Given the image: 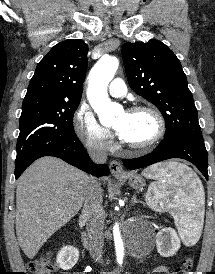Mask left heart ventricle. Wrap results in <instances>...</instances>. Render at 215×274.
Returning a JSON list of instances; mask_svg holds the SVG:
<instances>
[{
	"instance_id": "b2bd125f",
	"label": "left heart ventricle",
	"mask_w": 215,
	"mask_h": 274,
	"mask_svg": "<svg viewBox=\"0 0 215 274\" xmlns=\"http://www.w3.org/2000/svg\"><path fill=\"white\" fill-rule=\"evenodd\" d=\"M114 127H122L123 140L133 144L148 141L157 130L154 117L147 112L121 113L116 118Z\"/></svg>"
}]
</instances>
